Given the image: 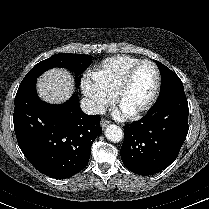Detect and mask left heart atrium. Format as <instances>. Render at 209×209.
I'll list each match as a JSON object with an SVG mask.
<instances>
[{
  "label": "left heart atrium",
  "mask_w": 209,
  "mask_h": 209,
  "mask_svg": "<svg viewBox=\"0 0 209 209\" xmlns=\"http://www.w3.org/2000/svg\"><path fill=\"white\" fill-rule=\"evenodd\" d=\"M118 114H119L120 116H126V115H128V112H126V111L120 109V111L118 112Z\"/></svg>",
  "instance_id": "1"
}]
</instances>
